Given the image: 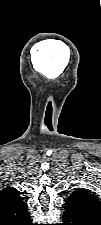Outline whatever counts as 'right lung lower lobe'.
I'll return each mask as SVG.
<instances>
[{
	"mask_svg": "<svg viewBox=\"0 0 101 225\" xmlns=\"http://www.w3.org/2000/svg\"><path fill=\"white\" fill-rule=\"evenodd\" d=\"M25 225H32V224H31V219H30L29 222L26 223Z\"/></svg>",
	"mask_w": 101,
	"mask_h": 225,
	"instance_id": "98d812e1",
	"label": "right lung lower lobe"
}]
</instances>
